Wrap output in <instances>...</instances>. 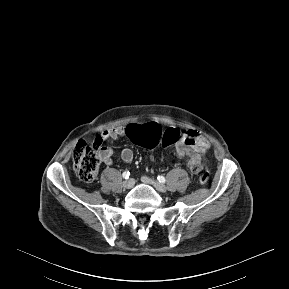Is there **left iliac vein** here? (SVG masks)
<instances>
[{"label": "left iliac vein", "mask_w": 289, "mask_h": 289, "mask_svg": "<svg viewBox=\"0 0 289 289\" xmlns=\"http://www.w3.org/2000/svg\"><path fill=\"white\" fill-rule=\"evenodd\" d=\"M141 179H142L143 183L154 186L155 189L158 190L159 192L164 193L167 191L166 186L164 184L158 182L157 180H154V179L149 178L147 176H143Z\"/></svg>", "instance_id": "obj_1"}]
</instances>
